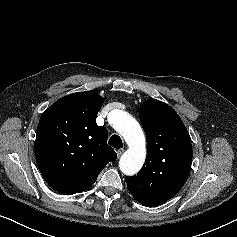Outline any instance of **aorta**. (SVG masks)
<instances>
[{"mask_svg": "<svg viewBox=\"0 0 237 237\" xmlns=\"http://www.w3.org/2000/svg\"><path fill=\"white\" fill-rule=\"evenodd\" d=\"M114 129L125 139L128 149L119 161L120 170L126 175L136 174L146 158V143L144 133L138 122L123 110L110 112Z\"/></svg>", "mask_w": 237, "mask_h": 237, "instance_id": "762f6f07", "label": "aorta"}]
</instances>
